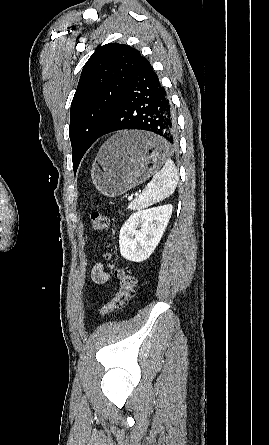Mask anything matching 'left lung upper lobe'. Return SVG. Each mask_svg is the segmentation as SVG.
<instances>
[{"mask_svg":"<svg viewBox=\"0 0 269 445\" xmlns=\"http://www.w3.org/2000/svg\"><path fill=\"white\" fill-rule=\"evenodd\" d=\"M141 58L128 45L109 43L99 47L84 65L70 109L74 172L111 118Z\"/></svg>","mask_w":269,"mask_h":445,"instance_id":"5c2ea615","label":"left lung upper lobe"}]
</instances>
